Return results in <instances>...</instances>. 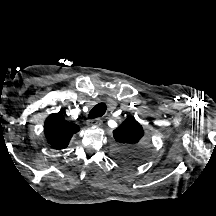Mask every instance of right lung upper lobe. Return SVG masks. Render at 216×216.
Returning a JSON list of instances; mask_svg holds the SVG:
<instances>
[{
	"instance_id": "1",
	"label": "right lung upper lobe",
	"mask_w": 216,
	"mask_h": 216,
	"mask_svg": "<svg viewBox=\"0 0 216 216\" xmlns=\"http://www.w3.org/2000/svg\"><path fill=\"white\" fill-rule=\"evenodd\" d=\"M80 128L65 120L62 111L53 113L47 117L44 124V134L48 143L57 150L66 148L73 134Z\"/></svg>"
}]
</instances>
